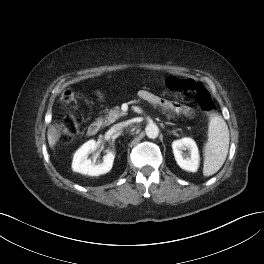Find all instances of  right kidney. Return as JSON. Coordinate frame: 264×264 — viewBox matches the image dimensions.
Returning <instances> with one entry per match:
<instances>
[{
    "instance_id": "ca27d5eb",
    "label": "right kidney",
    "mask_w": 264,
    "mask_h": 264,
    "mask_svg": "<svg viewBox=\"0 0 264 264\" xmlns=\"http://www.w3.org/2000/svg\"><path fill=\"white\" fill-rule=\"evenodd\" d=\"M97 149V143L95 140H89L84 143L74 154L72 169L75 172L89 175L99 176L105 174L112 169L115 154L112 152L107 153L103 157L101 164H93L88 155Z\"/></svg>"
}]
</instances>
